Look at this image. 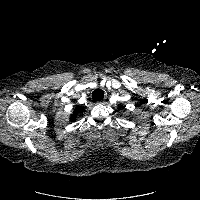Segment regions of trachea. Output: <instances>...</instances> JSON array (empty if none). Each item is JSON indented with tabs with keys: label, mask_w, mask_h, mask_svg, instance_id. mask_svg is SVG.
<instances>
[{
	"label": "trachea",
	"mask_w": 200,
	"mask_h": 200,
	"mask_svg": "<svg viewBox=\"0 0 200 200\" xmlns=\"http://www.w3.org/2000/svg\"><path fill=\"white\" fill-rule=\"evenodd\" d=\"M103 97H104V92L101 89H96L92 93V98L95 101H100L103 99Z\"/></svg>",
	"instance_id": "1"
}]
</instances>
